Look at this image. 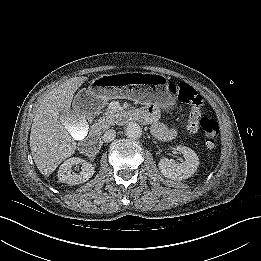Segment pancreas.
I'll list each match as a JSON object with an SVG mask.
<instances>
[{"instance_id":"1","label":"pancreas","mask_w":261,"mask_h":261,"mask_svg":"<svg viewBox=\"0 0 261 261\" xmlns=\"http://www.w3.org/2000/svg\"><path fill=\"white\" fill-rule=\"evenodd\" d=\"M119 114L115 113L111 110H108L107 112H105L100 118L99 120L94 123V129L96 131H100V130H106L108 128H110L112 125H114V123L116 122V120L118 119Z\"/></svg>"}]
</instances>
